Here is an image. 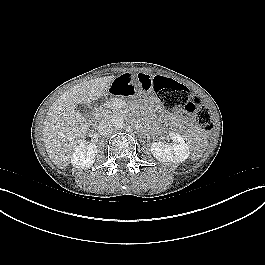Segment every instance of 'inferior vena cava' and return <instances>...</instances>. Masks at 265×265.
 <instances>
[{
	"label": "inferior vena cava",
	"instance_id": "1",
	"mask_svg": "<svg viewBox=\"0 0 265 265\" xmlns=\"http://www.w3.org/2000/svg\"><path fill=\"white\" fill-rule=\"evenodd\" d=\"M112 131H113V125L111 121L103 119L98 124V132L101 135H109L110 133H112Z\"/></svg>",
	"mask_w": 265,
	"mask_h": 265
}]
</instances>
